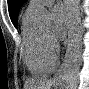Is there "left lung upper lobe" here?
Segmentation results:
<instances>
[{
    "label": "left lung upper lobe",
    "mask_w": 89,
    "mask_h": 89,
    "mask_svg": "<svg viewBox=\"0 0 89 89\" xmlns=\"http://www.w3.org/2000/svg\"><path fill=\"white\" fill-rule=\"evenodd\" d=\"M27 0H8L9 15L12 23L17 27V18L20 7Z\"/></svg>",
    "instance_id": "1"
}]
</instances>
